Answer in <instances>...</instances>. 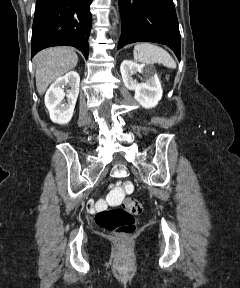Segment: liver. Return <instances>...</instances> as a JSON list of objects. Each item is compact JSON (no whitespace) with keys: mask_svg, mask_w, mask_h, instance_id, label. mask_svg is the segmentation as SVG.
Instances as JSON below:
<instances>
[{"mask_svg":"<svg viewBox=\"0 0 240 288\" xmlns=\"http://www.w3.org/2000/svg\"><path fill=\"white\" fill-rule=\"evenodd\" d=\"M34 62L36 88L38 94L43 95L54 80L76 67L78 56L68 47H51L40 51Z\"/></svg>","mask_w":240,"mask_h":288,"instance_id":"1","label":"liver"}]
</instances>
